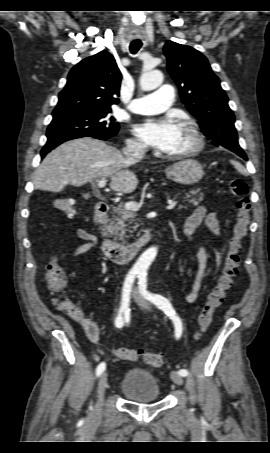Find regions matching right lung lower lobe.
<instances>
[{
    "instance_id": "obj_1",
    "label": "right lung lower lobe",
    "mask_w": 270,
    "mask_h": 453,
    "mask_svg": "<svg viewBox=\"0 0 270 453\" xmlns=\"http://www.w3.org/2000/svg\"><path fill=\"white\" fill-rule=\"evenodd\" d=\"M90 136L96 139L100 140H106L110 137H104L99 134H94V133H87V132H49L47 133V143L41 150V157L44 158V156L50 152L52 149H54L56 146L60 145L61 143L71 140V139H76V138H81V137H86Z\"/></svg>"
}]
</instances>
